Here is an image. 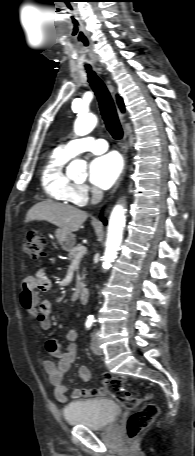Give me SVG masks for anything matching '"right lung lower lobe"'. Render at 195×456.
Segmentation results:
<instances>
[{"label":"right lung lower lobe","mask_w":195,"mask_h":456,"mask_svg":"<svg viewBox=\"0 0 195 456\" xmlns=\"http://www.w3.org/2000/svg\"><path fill=\"white\" fill-rule=\"evenodd\" d=\"M102 221L106 224V220L104 218H102Z\"/></svg>","instance_id":"obj_1"}]
</instances>
